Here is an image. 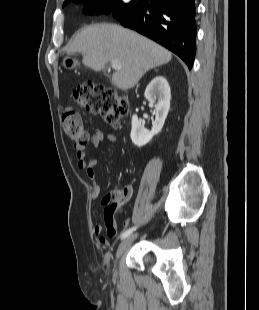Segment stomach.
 <instances>
[{
	"mask_svg": "<svg viewBox=\"0 0 259 310\" xmlns=\"http://www.w3.org/2000/svg\"><path fill=\"white\" fill-rule=\"evenodd\" d=\"M62 65L66 69H74L77 67L78 62L76 61V59L72 58L70 55H67L66 57H64Z\"/></svg>",
	"mask_w": 259,
	"mask_h": 310,
	"instance_id": "obj_1",
	"label": "stomach"
}]
</instances>
